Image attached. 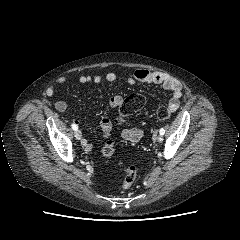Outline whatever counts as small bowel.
<instances>
[{"label": "small bowel", "instance_id": "1", "mask_svg": "<svg viewBox=\"0 0 240 240\" xmlns=\"http://www.w3.org/2000/svg\"><path fill=\"white\" fill-rule=\"evenodd\" d=\"M117 78L116 74L114 72H108L105 75L101 74H85L81 75L78 78V81L82 84L86 83H100L103 80H106L108 82H113ZM67 81L66 77H60L57 79L56 84H63ZM127 82L130 85H137L139 83H146V84H155L160 85L165 90L169 91L171 93V97L167 103V108L171 112H175L180 105V99L182 97V85L181 83L174 77H172L169 74L161 73L158 71H152L147 69H138L134 71L133 73L129 74L127 76ZM54 92V87H50L47 90L48 95H52ZM124 103V99L120 95L112 96L109 99V107L112 109H120ZM55 108L59 112H70V109L66 102L64 101H56L55 102ZM76 123H79V121H76ZM99 127L101 132L103 133L104 138H109L112 130V122L109 118H102ZM144 134L143 129L141 128H126L122 131V138L131 141V142H137L139 141ZM82 145L86 151H91L93 146L86 140L82 141Z\"/></svg>", "mask_w": 240, "mask_h": 240}]
</instances>
